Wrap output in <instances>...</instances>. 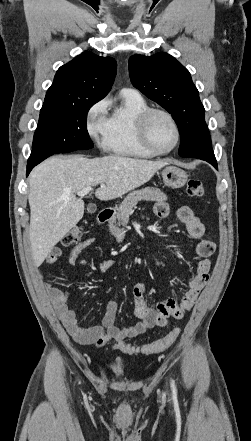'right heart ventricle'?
<instances>
[{"label":"right heart ventricle","mask_w":251,"mask_h":441,"mask_svg":"<svg viewBox=\"0 0 251 441\" xmlns=\"http://www.w3.org/2000/svg\"><path fill=\"white\" fill-rule=\"evenodd\" d=\"M150 108L144 97L133 89H124L120 101L108 118L104 148L109 152L135 158L155 156L140 141L137 129L139 116Z\"/></svg>","instance_id":"right-heart-ventricle-1"}]
</instances>
